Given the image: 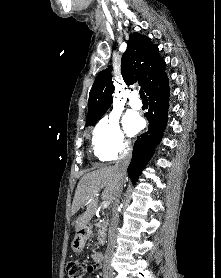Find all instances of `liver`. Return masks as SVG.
<instances>
[{
  "instance_id": "obj_1",
  "label": "liver",
  "mask_w": 221,
  "mask_h": 278,
  "mask_svg": "<svg viewBox=\"0 0 221 278\" xmlns=\"http://www.w3.org/2000/svg\"><path fill=\"white\" fill-rule=\"evenodd\" d=\"M125 179L123 180L124 183ZM122 183L118 173L113 166L101 167L95 171L85 174L79 181L72 203V215L80 208L86 207V211L80 215L75 222L76 232L86 227L94 216L98 196L103 189L101 198L104 201L114 202L116 188Z\"/></svg>"
}]
</instances>
